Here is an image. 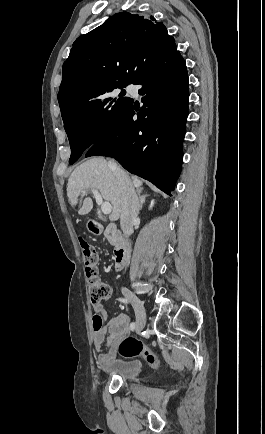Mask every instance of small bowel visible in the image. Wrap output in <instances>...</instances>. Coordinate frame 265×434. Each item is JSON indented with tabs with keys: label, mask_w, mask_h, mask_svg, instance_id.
Masks as SVG:
<instances>
[{
	"label": "small bowel",
	"mask_w": 265,
	"mask_h": 434,
	"mask_svg": "<svg viewBox=\"0 0 265 434\" xmlns=\"http://www.w3.org/2000/svg\"><path fill=\"white\" fill-rule=\"evenodd\" d=\"M95 314H99L104 319L107 318V311L101 303L93 305ZM129 318L126 314H119L106 321L99 331H95L92 335V342L95 349L99 352L102 351L106 343L109 349V354H114V348L121 340L128 335ZM113 359L110 356L101 354L98 358L99 364L110 365Z\"/></svg>",
	"instance_id": "small-bowel-1"
}]
</instances>
